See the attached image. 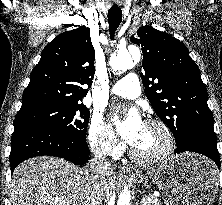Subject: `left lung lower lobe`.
<instances>
[{
    "label": "left lung lower lobe",
    "instance_id": "1",
    "mask_svg": "<svg viewBox=\"0 0 222 205\" xmlns=\"http://www.w3.org/2000/svg\"><path fill=\"white\" fill-rule=\"evenodd\" d=\"M175 153L197 152L210 158L220 169V157L217 149V138L203 133H193L176 143Z\"/></svg>",
    "mask_w": 222,
    "mask_h": 205
}]
</instances>
